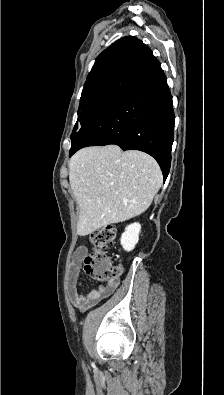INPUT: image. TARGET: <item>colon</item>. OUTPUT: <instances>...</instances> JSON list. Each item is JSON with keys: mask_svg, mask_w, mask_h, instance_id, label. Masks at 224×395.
Masks as SVG:
<instances>
[{"mask_svg": "<svg viewBox=\"0 0 224 395\" xmlns=\"http://www.w3.org/2000/svg\"><path fill=\"white\" fill-rule=\"evenodd\" d=\"M116 229L112 226L102 227L90 235L93 251L84 258L86 274L97 282L110 283L120 274V268L111 263L104 250L114 240Z\"/></svg>", "mask_w": 224, "mask_h": 395, "instance_id": "colon-1", "label": "colon"}]
</instances>
